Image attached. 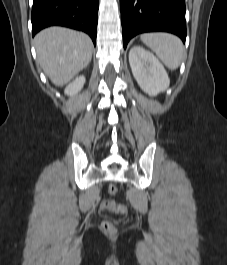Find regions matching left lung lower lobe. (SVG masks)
Returning a JSON list of instances; mask_svg holds the SVG:
<instances>
[{
    "label": "left lung lower lobe",
    "instance_id": "obj_1",
    "mask_svg": "<svg viewBox=\"0 0 227 265\" xmlns=\"http://www.w3.org/2000/svg\"><path fill=\"white\" fill-rule=\"evenodd\" d=\"M123 44L139 33L166 31L186 39L184 0H120Z\"/></svg>",
    "mask_w": 227,
    "mask_h": 265
}]
</instances>
